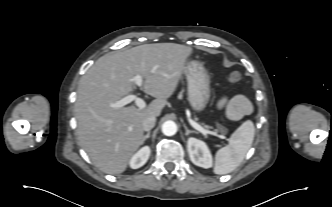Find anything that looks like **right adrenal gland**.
<instances>
[{
  "label": "right adrenal gland",
  "instance_id": "obj_1",
  "mask_svg": "<svg viewBox=\"0 0 332 207\" xmlns=\"http://www.w3.org/2000/svg\"><path fill=\"white\" fill-rule=\"evenodd\" d=\"M150 137V131H148V133L144 136L143 141H145L146 139H148Z\"/></svg>",
  "mask_w": 332,
  "mask_h": 207
}]
</instances>
